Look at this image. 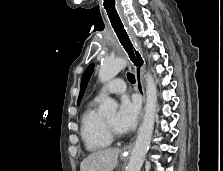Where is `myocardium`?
<instances>
[{
  "mask_svg": "<svg viewBox=\"0 0 223 171\" xmlns=\"http://www.w3.org/2000/svg\"><path fill=\"white\" fill-rule=\"evenodd\" d=\"M103 122H104V126L105 129L108 133V135L113 139V138H118L121 136V134L119 132H117L116 130L113 129V127L106 121L105 118H103Z\"/></svg>",
  "mask_w": 223,
  "mask_h": 171,
  "instance_id": "myocardium-1",
  "label": "myocardium"
}]
</instances>
